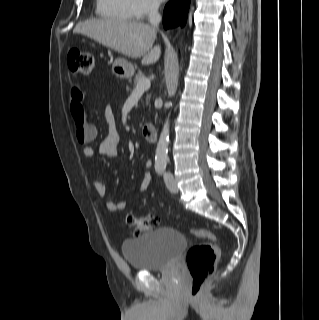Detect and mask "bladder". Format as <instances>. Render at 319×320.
I'll return each mask as SVG.
<instances>
[{"label":"bladder","instance_id":"bladder-1","mask_svg":"<svg viewBox=\"0 0 319 320\" xmlns=\"http://www.w3.org/2000/svg\"><path fill=\"white\" fill-rule=\"evenodd\" d=\"M188 247L184 233L173 228H156L122 243V252L136 271H158L170 268Z\"/></svg>","mask_w":319,"mask_h":320}]
</instances>
